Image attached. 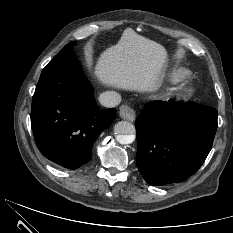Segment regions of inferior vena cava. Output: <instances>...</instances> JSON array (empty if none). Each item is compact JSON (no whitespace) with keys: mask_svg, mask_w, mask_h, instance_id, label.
I'll return each mask as SVG.
<instances>
[{"mask_svg":"<svg viewBox=\"0 0 233 233\" xmlns=\"http://www.w3.org/2000/svg\"><path fill=\"white\" fill-rule=\"evenodd\" d=\"M99 101L101 105L112 108L121 102V96L115 91H106L100 94Z\"/></svg>","mask_w":233,"mask_h":233,"instance_id":"1","label":"inferior vena cava"}]
</instances>
